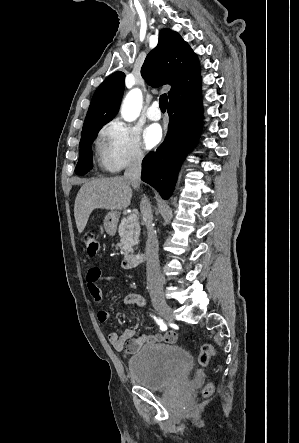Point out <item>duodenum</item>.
<instances>
[{
	"mask_svg": "<svg viewBox=\"0 0 299 443\" xmlns=\"http://www.w3.org/2000/svg\"><path fill=\"white\" fill-rule=\"evenodd\" d=\"M142 256L140 253L136 254H129L122 258L121 260V267L123 269H131L138 265L140 262Z\"/></svg>",
	"mask_w": 299,
	"mask_h": 443,
	"instance_id": "obj_1",
	"label": "duodenum"
}]
</instances>
